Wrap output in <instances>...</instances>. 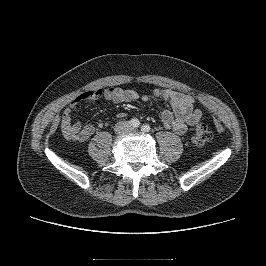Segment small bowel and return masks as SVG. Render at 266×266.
Listing matches in <instances>:
<instances>
[{
	"label": "small bowel",
	"instance_id": "obj_1",
	"mask_svg": "<svg viewBox=\"0 0 266 266\" xmlns=\"http://www.w3.org/2000/svg\"><path fill=\"white\" fill-rule=\"evenodd\" d=\"M100 98H105L113 103H130L138 100L140 96L134 90L122 88L91 89L83 92L61 115V131L66 139L85 142L94 134V125H82L80 121L74 120V114L82 103L96 101ZM141 99L144 102L150 99L167 102L170 108L161 112L160 121L164 128L173 131L177 135H184L189 127L197 124L203 117V111L197 107L193 96L169 88H156L150 94L142 95ZM119 116L123 117L124 113H120Z\"/></svg>",
	"mask_w": 266,
	"mask_h": 266
}]
</instances>
